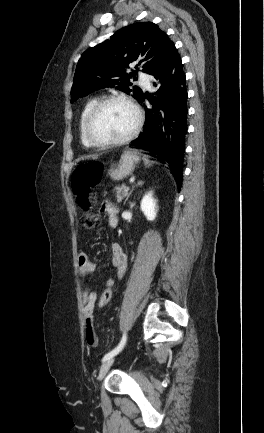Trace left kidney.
I'll return each mask as SVG.
<instances>
[{
    "mask_svg": "<svg viewBox=\"0 0 264 433\" xmlns=\"http://www.w3.org/2000/svg\"><path fill=\"white\" fill-rule=\"evenodd\" d=\"M157 200L153 198V192L150 191L144 195L141 201V210L147 220L153 221L157 215Z\"/></svg>",
    "mask_w": 264,
    "mask_h": 433,
    "instance_id": "5707ae66",
    "label": "left kidney"
}]
</instances>
